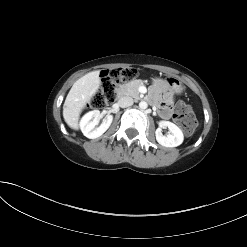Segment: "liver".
I'll return each mask as SVG.
<instances>
[{"label":"liver","instance_id":"obj_1","mask_svg":"<svg viewBox=\"0 0 247 247\" xmlns=\"http://www.w3.org/2000/svg\"><path fill=\"white\" fill-rule=\"evenodd\" d=\"M99 74V71H92L79 78L65 99L63 117L67 125L74 130L79 128V118L83 108L100 87Z\"/></svg>","mask_w":247,"mask_h":247}]
</instances>
